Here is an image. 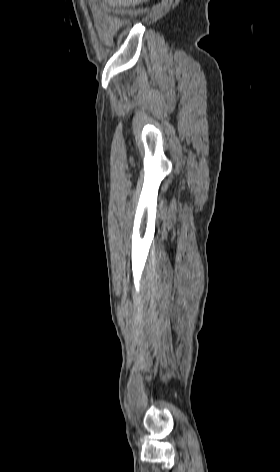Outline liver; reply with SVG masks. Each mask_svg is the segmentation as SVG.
I'll use <instances>...</instances> for the list:
<instances>
[{"instance_id":"liver-1","label":"liver","mask_w":280,"mask_h":472,"mask_svg":"<svg viewBox=\"0 0 280 472\" xmlns=\"http://www.w3.org/2000/svg\"><path fill=\"white\" fill-rule=\"evenodd\" d=\"M146 0H108L109 5L112 7H129L139 4Z\"/></svg>"}]
</instances>
